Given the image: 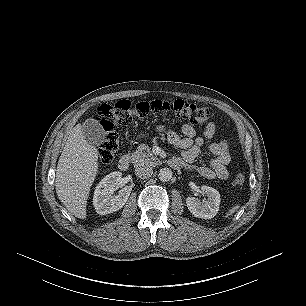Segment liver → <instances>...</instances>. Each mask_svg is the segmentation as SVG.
I'll return each mask as SVG.
<instances>
[{
    "mask_svg": "<svg viewBox=\"0 0 306 306\" xmlns=\"http://www.w3.org/2000/svg\"><path fill=\"white\" fill-rule=\"evenodd\" d=\"M98 150L85 139L82 126L71 131L58 161L56 193L59 200L75 217L85 219L86 206L98 172Z\"/></svg>",
    "mask_w": 306,
    "mask_h": 306,
    "instance_id": "obj_1",
    "label": "liver"
}]
</instances>
